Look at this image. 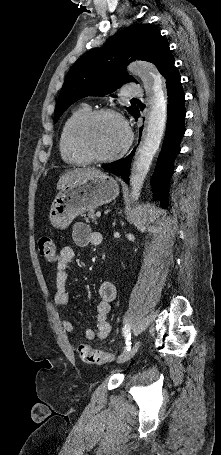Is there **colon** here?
Here are the masks:
<instances>
[{
	"instance_id": "obj_1",
	"label": "colon",
	"mask_w": 221,
	"mask_h": 455,
	"mask_svg": "<svg viewBox=\"0 0 221 455\" xmlns=\"http://www.w3.org/2000/svg\"><path fill=\"white\" fill-rule=\"evenodd\" d=\"M38 249L40 256L48 262H54L59 258L55 243L49 236H42L40 238ZM77 350L82 361L88 364L102 365L113 360V355L93 349L84 343L79 344Z\"/></svg>"
}]
</instances>
